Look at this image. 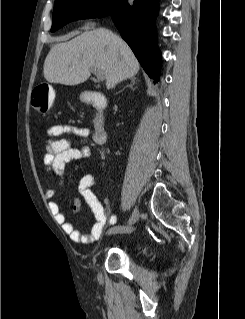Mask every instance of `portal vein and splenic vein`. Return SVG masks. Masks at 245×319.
Masks as SVG:
<instances>
[{"label": "portal vein and splenic vein", "mask_w": 245, "mask_h": 319, "mask_svg": "<svg viewBox=\"0 0 245 319\" xmlns=\"http://www.w3.org/2000/svg\"><path fill=\"white\" fill-rule=\"evenodd\" d=\"M92 73L97 77L99 81H103L105 79L104 72L100 69H92Z\"/></svg>", "instance_id": "1"}]
</instances>
